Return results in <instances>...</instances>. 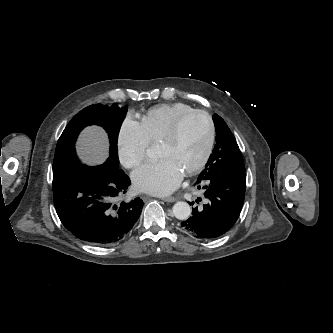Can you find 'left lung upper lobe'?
<instances>
[{"label":"left lung upper lobe","mask_w":333,"mask_h":333,"mask_svg":"<svg viewBox=\"0 0 333 333\" xmlns=\"http://www.w3.org/2000/svg\"><path fill=\"white\" fill-rule=\"evenodd\" d=\"M213 121L216 129V145L204 172L215 171L222 176L245 173L243 157L234 135L217 114L213 116Z\"/></svg>","instance_id":"left-lung-upper-lobe-1"}]
</instances>
